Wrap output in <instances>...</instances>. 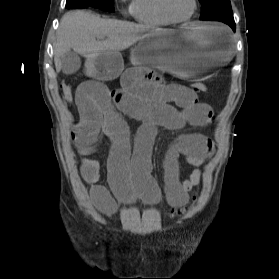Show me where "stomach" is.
<instances>
[{
    "instance_id": "0dacf381",
    "label": "stomach",
    "mask_w": 279,
    "mask_h": 279,
    "mask_svg": "<svg viewBox=\"0 0 279 279\" xmlns=\"http://www.w3.org/2000/svg\"><path fill=\"white\" fill-rule=\"evenodd\" d=\"M160 31L149 34L131 51L133 65H148L159 72H172L180 82H209L226 69L237 50H232L227 24L190 23L177 29L160 25ZM119 53L87 54L79 64L77 75L86 82H113L123 70Z\"/></svg>"
}]
</instances>
